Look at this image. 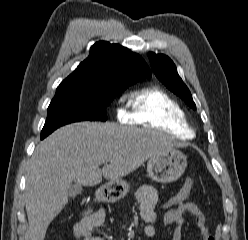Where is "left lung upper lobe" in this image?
<instances>
[{
    "instance_id": "left-lung-upper-lobe-1",
    "label": "left lung upper lobe",
    "mask_w": 248,
    "mask_h": 240,
    "mask_svg": "<svg viewBox=\"0 0 248 240\" xmlns=\"http://www.w3.org/2000/svg\"><path fill=\"white\" fill-rule=\"evenodd\" d=\"M150 64L157 78L172 92L181 97L187 105L196 109L192 95L177 73L173 61L163 54L148 53Z\"/></svg>"
}]
</instances>
